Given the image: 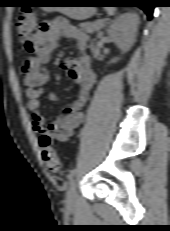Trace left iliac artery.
Listing matches in <instances>:
<instances>
[{
	"mask_svg": "<svg viewBox=\"0 0 170 231\" xmlns=\"http://www.w3.org/2000/svg\"><path fill=\"white\" fill-rule=\"evenodd\" d=\"M76 172H77V169L75 168L72 169L67 176L68 180H71L75 176Z\"/></svg>",
	"mask_w": 170,
	"mask_h": 231,
	"instance_id": "44dca946",
	"label": "left iliac artery"
}]
</instances>
